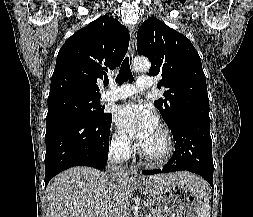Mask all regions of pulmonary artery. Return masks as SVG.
Masks as SVG:
<instances>
[{
    "mask_svg": "<svg viewBox=\"0 0 253 217\" xmlns=\"http://www.w3.org/2000/svg\"><path fill=\"white\" fill-rule=\"evenodd\" d=\"M152 87V80L149 76H140L136 84L110 85V89L102 93V101H116L130 97L138 91L148 90Z\"/></svg>",
    "mask_w": 253,
    "mask_h": 217,
    "instance_id": "1",
    "label": "pulmonary artery"
}]
</instances>
